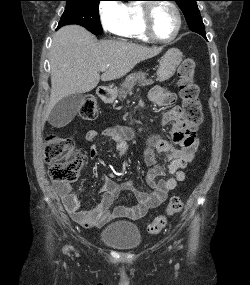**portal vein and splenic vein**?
<instances>
[{"instance_id":"18ae733b","label":"portal vein and splenic vein","mask_w":250,"mask_h":285,"mask_svg":"<svg viewBox=\"0 0 250 285\" xmlns=\"http://www.w3.org/2000/svg\"><path fill=\"white\" fill-rule=\"evenodd\" d=\"M108 67L109 65H106L105 67L101 68V71H105Z\"/></svg>"}]
</instances>
